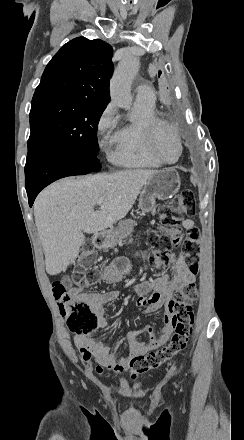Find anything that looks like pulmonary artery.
Returning <instances> with one entry per match:
<instances>
[{
    "label": "pulmonary artery",
    "mask_w": 244,
    "mask_h": 440,
    "mask_svg": "<svg viewBox=\"0 0 244 440\" xmlns=\"http://www.w3.org/2000/svg\"><path fill=\"white\" fill-rule=\"evenodd\" d=\"M140 89L137 91L136 94V101L137 102H155L156 101V94L153 90H147L148 84L147 83H141Z\"/></svg>",
    "instance_id": "obj_1"
}]
</instances>
